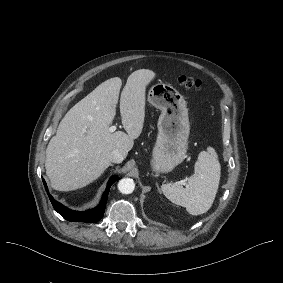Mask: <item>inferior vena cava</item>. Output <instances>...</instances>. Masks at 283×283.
I'll return each instance as SVG.
<instances>
[{
	"label": "inferior vena cava",
	"instance_id": "obj_1",
	"mask_svg": "<svg viewBox=\"0 0 283 283\" xmlns=\"http://www.w3.org/2000/svg\"><path fill=\"white\" fill-rule=\"evenodd\" d=\"M113 163H121L124 159L122 153L118 150H113L110 154Z\"/></svg>",
	"mask_w": 283,
	"mask_h": 283
}]
</instances>
